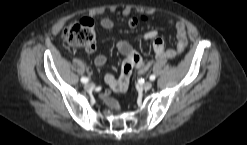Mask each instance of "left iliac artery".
<instances>
[{
  "mask_svg": "<svg viewBox=\"0 0 247 145\" xmlns=\"http://www.w3.org/2000/svg\"><path fill=\"white\" fill-rule=\"evenodd\" d=\"M155 78H156V76H155L154 74H152V75L149 77V79H150L151 81H154Z\"/></svg>",
  "mask_w": 247,
  "mask_h": 145,
  "instance_id": "44dca946",
  "label": "left iliac artery"
}]
</instances>
